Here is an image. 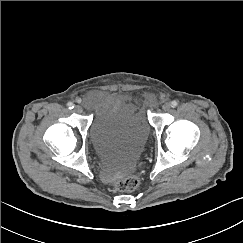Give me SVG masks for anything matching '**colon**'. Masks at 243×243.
Instances as JSON below:
<instances>
[{
    "label": "colon",
    "mask_w": 243,
    "mask_h": 243,
    "mask_svg": "<svg viewBox=\"0 0 243 243\" xmlns=\"http://www.w3.org/2000/svg\"><path fill=\"white\" fill-rule=\"evenodd\" d=\"M139 185V177L137 175H130L125 179L118 181L115 188L119 191L130 192L135 190Z\"/></svg>",
    "instance_id": "5ec220e1"
}]
</instances>
